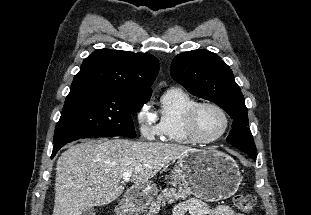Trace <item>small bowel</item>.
Masks as SVG:
<instances>
[{"label":"small bowel","instance_id":"obj_1","mask_svg":"<svg viewBox=\"0 0 311 215\" xmlns=\"http://www.w3.org/2000/svg\"><path fill=\"white\" fill-rule=\"evenodd\" d=\"M241 215L227 205L209 206L205 202L192 198L177 204L173 215Z\"/></svg>","mask_w":311,"mask_h":215}]
</instances>
